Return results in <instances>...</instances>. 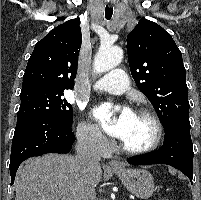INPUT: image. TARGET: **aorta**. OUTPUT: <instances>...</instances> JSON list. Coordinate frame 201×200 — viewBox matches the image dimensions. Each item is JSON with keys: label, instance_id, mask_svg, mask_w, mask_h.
I'll return each mask as SVG.
<instances>
[{"label": "aorta", "instance_id": "obj_1", "mask_svg": "<svg viewBox=\"0 0 201 200\" xmlns=\"http://www.w3.org/2000/svg\"><path fill=\"white\" fill-rule=\"evenodd\" d=\"M123 58V50L118 46L102 44L94 59V71L104 73L116 67Z\"/></svg>", "mask_w": 201, "mask_h": 200}]
</instances>
